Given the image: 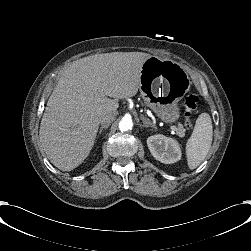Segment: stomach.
Returning a JSON list of instances; mask_svg holds the SVG:
<instances>
[{"label": "stomach", "instance_id": "0dacf381", "mask_svg": "<svg viewBox=\"0 0 251 251\" xmlns=\"http://www.w3.org/2000/svg\"><path fill=\"white\" fill-rule=\"evenodd\" d=\"M161 84V85H160ZM165 93L157 94V91ZM190 88L188 76L173 60H161L152 56L143 63L139 81L140 95L147 106L152 107L165 121H175L178 118L176 104Z\"/></svg>", "mask_w": 251, "mask_h": 251}]
</instances>
